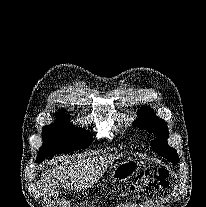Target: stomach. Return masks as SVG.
I'll return each instance as SVG.
<instances>
[{"label":"stomach","instance_id":"0dacf381","mask_svg":"<svg viewBox=\"0 0 206 207\" xmlns=\"http://www.w3.org/2000/svg\"><path fill=\"white\" fill-rule=\"evenodd\" d=\"M140 163L135 159H128L117 164L110 173L109 180L113 183L130 179L139 171Z\"/></svg>","mask_w":206,"mask_h":207}]
</instances>
